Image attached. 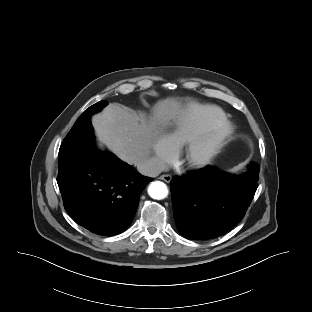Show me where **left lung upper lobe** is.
Listing matches in <instances>:
<instances>
[{
    "label": "left lung upper lobe",
    "mask_w": 312,
    "mask_h": 312,
    "mask_svg": "<svg viewBox=\"0 0 312 312\" xmlns=\"http://www.w3.org/2000/svg\"><path fill=\"white\" fill-rule=\"evenodd\" d=\"M256 168L259 169V165L257 163H255V162H250V164L248 165V169L249 170H253V169H256ZM247 173H249V171Z\"/></svg>",
    "instance_id": "1"
}]
</instances>
